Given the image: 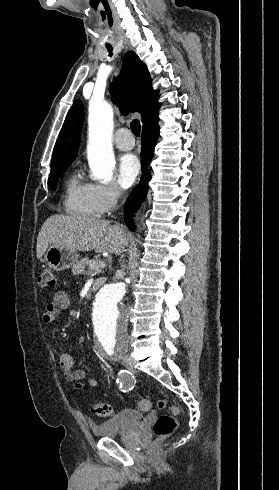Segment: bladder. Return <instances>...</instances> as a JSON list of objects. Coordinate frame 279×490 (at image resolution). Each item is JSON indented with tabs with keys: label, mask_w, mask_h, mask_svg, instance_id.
<instances>
[{
	"label": "bladder",
	"mask_w": 279,
	"mask_h": 490,
	"mask_svg": "<svg viewBox=\"0 0 279 490\" xmlns=\"http://www.w3.org/2000/svg\"><path fill=\"white\" fill-rule=\"evenodd\" d=\"M145 414L134 408L119 411L115 416L92 426L94 436L98 438L112 437L116 434L131 432L143 421Z\"/></svg>",
	"instance_id": "31cf9c89"
}]
</instances>
